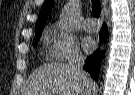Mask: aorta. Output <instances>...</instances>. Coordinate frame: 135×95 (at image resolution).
Returning a JSON list of instances; mask_svg holds the SVG:
<instances>
[{
    "mask_svg": "<svg viewBox=\"0 0 135 95\" xmlns=\"http://www.w3.org/2000/svg\"><path fill=\"white\" fill-rule=\"evenodd\" d=\"M76 13L77 5L70 3L68 4L60 15L61 27L67 31L72 32L76 25Z\"/></svg>",
    "mask_w": 135,
    "mask_h": 95,
    "instance_id": "762f6f07",
    "label": "aorta"
}]
</instances>
